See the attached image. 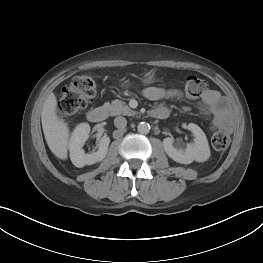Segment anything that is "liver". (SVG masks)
<instances>
[{
	"label": "liver",
	"mask_w": 263,
	"mask_h": 263,
	"mask_svg": "<svg viewBox=\"0 0 263 263\" xmlns=\"http://www.w3.org/2000/svg\"><path fill=\"white\" fill-rule=\"evenodd\" d=\"M56 105V97L53 93H50L42 108L41 122L49 149L55 156L65 160L68 156L69 128L57 116Z\"/></svg>",
	"instance_id": "1"
}]
</instances>
